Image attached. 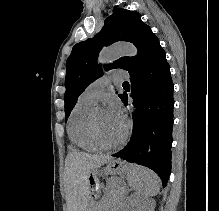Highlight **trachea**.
<instances>
[{
	"label": "trachea",
	"mask_w": 219,
	"mask_h": 211,
	"mask_svg": "<svg viewBox=\"0 0 219 211\" xmlns=\"http://www.w3.org/2000/svg\"><path fill=\"white\" fill-rule=\"evenodd\" d=\"M124 84H128V82H124Z\"/></svg>",
	"instance_id": "1"
}]
</instances>
